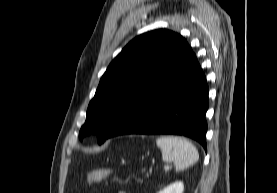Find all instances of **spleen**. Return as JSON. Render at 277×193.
<instances>
[{"mask_svg": "<svg viewBox=\"0 0 277 193\" xmlns=\"http://www.w3.org/2000/svg\"><path fill=\"white\" fill-rule=\"evenodd\" d=\"M164 162L173 161L176 171L184 170L199 159L196 147L187 139L177 136H161L156 140Z\"/></svg>", "mask_w": 277, "mask_h": 193, "instance_id": "spleen-1", "label": "spleen"}]
</instances>
